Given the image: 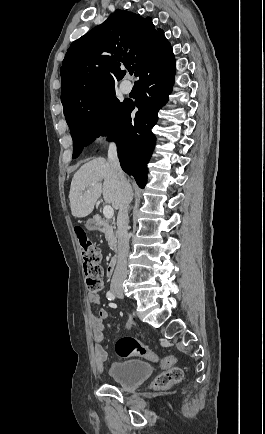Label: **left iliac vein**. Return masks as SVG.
<instances>
[{
    "instance_id": "left-iliac-vein-1",
    "label": "left iliac vein",
    "mask_w": 265,
    "mask_h": 434,
    "mask_svg": "<svg viewBox=\"0 0 265 434\" xmlns=\"http://www.w3.org/2000/svg\"><path fill=\"white\" fill-rule=\"evenodd\" d=\"M118 298H123V292H115Z\"/></svg>"
}]
</instances>
